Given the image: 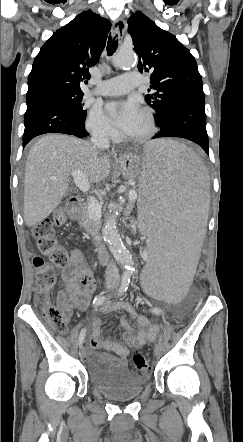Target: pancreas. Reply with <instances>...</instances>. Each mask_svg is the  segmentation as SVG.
Here are the masks:
<instances>
[{
	"mask_svg": "<svg viewBox=\"0 0 243 442\" xmlns=\"http://www.w3.org/2000/svg\"><path fill=\"white\" fill-rule=\"evenodd\" d=\"M81 225L90 235L94 236L98 233L101 222L97 219H93L89 216L88 207L84 206L80 217Z\"/></svg>",
	"mask_w": 243,
	"mask_h": 442,
	"instance_id": "cf45deb5",
	"label": "pancreas"
}]
</instances>
